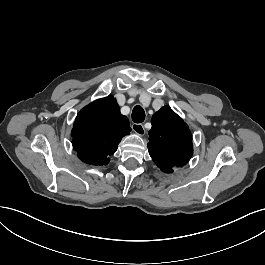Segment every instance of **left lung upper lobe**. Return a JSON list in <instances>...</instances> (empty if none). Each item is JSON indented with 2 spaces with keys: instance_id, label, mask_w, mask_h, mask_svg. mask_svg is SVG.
<instances>
[{
  "instance_id": "obj_1",
  "label": "left lung upper lobe",
  "mask_w": 265,
  "mask_h": 265,
  "mask_svg": "<svg viewBox=\"0 0 265 265\" xmlns=\"http://www.w3.org/2000/svg\"><path fill=\"white\" fill-rule=\"evenodd\" d=\"M147 145L153 161L165 173L188 163L193 153L192 135L183 120L164 106L151 119Z\"/></svg>"
}]
</instances>
